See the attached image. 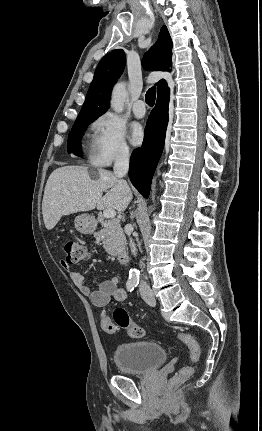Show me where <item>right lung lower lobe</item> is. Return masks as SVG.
Here are the masks:
<instances>
[{"label": "right lung lower lobe", "mask_w": 262, "mask_h": 431, "mask_svg": "<svg viewBox=\"0 0 262 431\" xmlns=\"http://www.w3.org/2000/svg\"><path fill=\"white\" fill-rule=\"evenodd\" d=\"M168 103L169 89L158 94L156 105L147 121L142 148L136 149L130 158L129 178L145 198L149 196L151 180L164 146Z\"/></svg>", "instance_id": "98d812e1"}]
</instances>
